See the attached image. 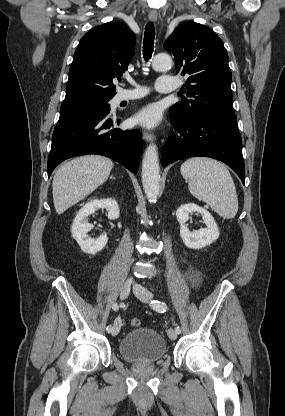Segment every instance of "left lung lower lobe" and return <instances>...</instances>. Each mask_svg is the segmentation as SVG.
I'll list each match as a JSON object with an SVG mask.
<instances>
[{"mask_svg":"<svg viewBox=\"0 0 285 416\" xmlns=\"http://www.w3.org/2000/svg\"><path fill=\"white\" fill-rule=\"evenodd\" d=\"M173 126L176 134L164 146L162 166L188 157H210L226 163L244 184L242 139L234 114H206Z\"/></svg>","mask_w":285,"mask_h":416,"instance_id":"obj_1","label":"left lung lower lobe"}]
</instances>
